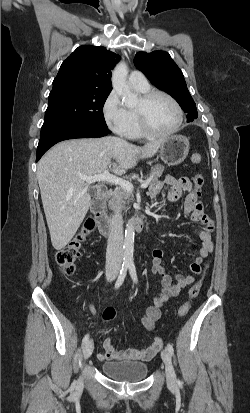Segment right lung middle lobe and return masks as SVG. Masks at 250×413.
<instances>
[{
    "label": "right lung middle lobe",
    "mask_w": 250,
    "mask_h": 413,
    "mask_svg": "<svg viewBox=\"0 0 250 413\" xmlns=\"http://www.w3.org/2000/svg\"><path fill=\"white\" fill-rule=\"evenodd\" d=\"M109 93L110 91L85 89L76 85L53 88L40 137L75 125L108 128L103 106Z\"/></svg>",
    "instance_id": "1"
}]
</instances>
